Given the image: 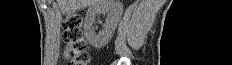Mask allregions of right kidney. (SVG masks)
Wrapping results in <instances>:
<instances>
[{"mask_svg":"<svg viewBox=\"0 0 232 65\" xmlns=\"http://www.w3.org/2000/svg\"><path fill=\"white\" fill-rule=\"evenodd\" d=\"M123 13V5L120 0H98L97 3L91 5L84 21V35L89 43L95 48L104 47L111 37L119 23ZM106 15L103 30L98 34L95 32L93 25L95 19L99 15Z\"/></svg>","mask_w":232,"mask_h":65,"instance_id":"ca27d5eb","label":"right kidney"}]
</instances>
